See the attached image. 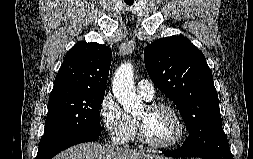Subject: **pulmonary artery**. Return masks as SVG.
<instances>
[{
  "mask_svg": "<svg viewBox=\"0 0 253 159\" xmlns=\"http://www.w3.org/2000/svg\"><path fill=\"white\" fill-rule=\"evenodd\" d=\"M137 92L140 96H142L145 100H151L154 97L155 89L153 84L145 79L140 80L137 85Z\"/></svg>",
  "mask_w": 253,
  "mask_h": 159,
  "instance_id": "1",
  "label": "pulmonary artery"
}]
</instances>
